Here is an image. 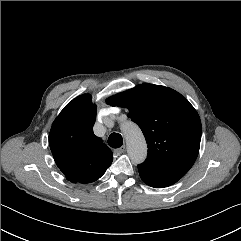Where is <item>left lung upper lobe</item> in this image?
Masks as SVG:
<instances>
[{
  "label": "left lung upper lobe",
  "mask_w": 241,
  "mask_h": 241,
  "mask_svg": "<svg viewBox=\"0 0 241 241\" xmlns=\"http://www.w3.org/2000/svg\"><path fill=\"white\" fill-rule=\"evenodd\" d=\"M128 108V117L142 130L148 144L140 173L170 185L193 166L200 148L201 121L189 101L165 86L141 84L107 99Z\"/></svg>",
  "instance_id": "left-lung-upper-lobe-1"
}]
</instances>
